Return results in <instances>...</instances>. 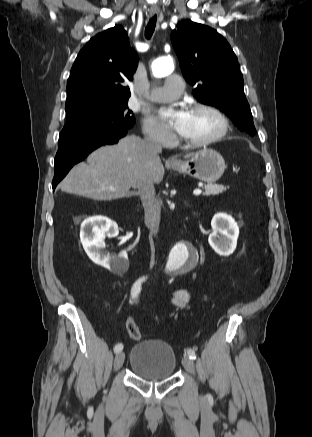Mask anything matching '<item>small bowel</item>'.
<instances>
[{"label": "small bowel", "instance_id": "obj_1", "mask_svg": "<svg viewBox=\"0 0 312 437\" xmlns=\"http://www.w3.org/2000/svg\"><path fill=\"white\" fill-rule=\"evenodd\" d=\"M190 299L191 294L186 290H177L169 296V301L182 312L188 310Z\"/></svg>", "mask_w": 312, "mask_h": 437}]
</instances>
